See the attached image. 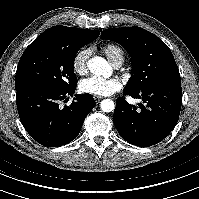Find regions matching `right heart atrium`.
<instances>
[{
    "mask_svg": "<svg viewBox=\"0 0 199 199\" xmlns=\"http://www.w3.org/2000/svg\"><path fill=\"white\" fill-rule=\"evenodd\" d=\"M91 55V50L88 48L80 49L73 57L72 69L77 75H84L87 72V62Z\"/></svg>",
    "mask_w": 199,
    "mask_h": 199,
    "instance_id": "1",
    "label": "right heart atrium"
}]
</instances>
